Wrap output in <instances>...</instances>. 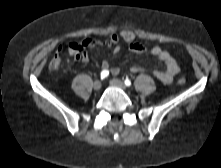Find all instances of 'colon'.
<instances>
[{
  "mask_svg": "<svg viewBox=\"0 0 221 168\" xmlns=\"http://www.w3.org/2000/svg\"><path fill=\"white\" fill-rule=\"evenodd\" d=\"M118 37L121 40L125 41L126 43H132L136 39V33L130 29H123L118 32ZM60 50H61V48H59L58 52L51 59V61L49 63L50 69H57L60 66V64H61ZM69 53L73 57L76 55L75 51H73V52L69 51ZM178 83L180 85L185 84V79H183V78L179 79Z\"/></svg>",
  "mask_w": 221,
  "mask_h": 168,
  "instance_id": "5ec220e1",
  "label": "colon"
}]
</instances>
